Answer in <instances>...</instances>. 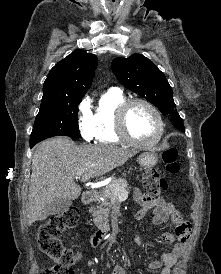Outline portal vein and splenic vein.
<instances>
[{
	"label": "portal vein and splenic vein",
	"instance_id": "1",
	"mask_svg": "<svg viewBox=\"0 0 221 274\" xmlns=\"http://www.w3.org/2000/svg\"><path fill=\"white\" fill-rule=\"evenodd\" d=\"M84 173V170H80L76 173V178L80 177ZM116 192H119L118 189L115 190ZM119 195V193H118Z\"/></svg>",
	"mask_w": 221,
	"mask_h": 274
}]
</instances>
